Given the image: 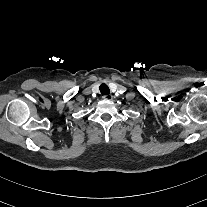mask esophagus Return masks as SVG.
<instances>
[{
	"label": "esophagus",
	"instance_id": "34e87169",
	"mask_svg": "<svg viewBox=\"0 0 207 207\" xmlns=\"http://www.w3.org/2000/svg\"><path fill=\"white\" fill-rule=\"evenodd\" d=\"M103 98H104L105 100H112V99H113V95H112V94H105V95L103 96Z\"/></svg>",
	"mask_w": 207,
	"mask_h": 207
}]
</instances>
